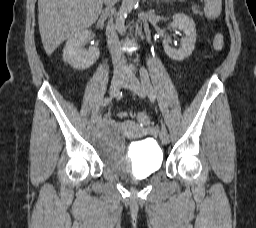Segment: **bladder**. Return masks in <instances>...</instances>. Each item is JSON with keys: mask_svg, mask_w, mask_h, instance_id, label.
Instances as JSON below:
<instances>
[{"mask_svg": "<svg viewBox=\"0 0 256 228\" xmlns=\"http://www.w3.org/2000/svg\"><path fill=\"white\" fill-rule=\"evenodd\" d=\"M92 145L102 162L115 174L127 179H142L162 168L163 152L154 140L144 139L130 145L124 154L125 141L120 129L109 125L94 134Z\"/></svg>", "mask_w": 256, "mask_h": 228, "instance_id": "obj_1", "label": "bladder"}]
</instances>
